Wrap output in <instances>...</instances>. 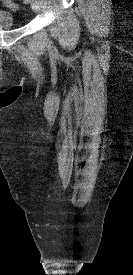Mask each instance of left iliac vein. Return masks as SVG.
Wrapping results in <instances>:
<instances>
[{"mask_svg":"<svg viewBox=\"0 0 133 275\" xmlns=\"http://www.w3.org/2000/svg\"><path fill=\"white\" fill-rule=\"evenodd\" d=\"M31 6L35 12H38L40 10V0H31Z\"/></svg>","mask_w":133,"mask_h":275,"instance_id":"left-iliac-vein-1","label":"left iliac vein"}]
</instances>
